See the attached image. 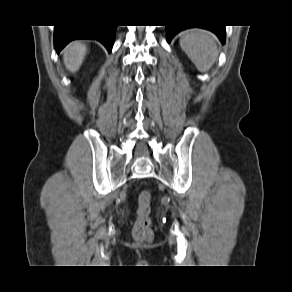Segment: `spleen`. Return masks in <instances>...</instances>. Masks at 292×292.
Masks as SVG:
<instances>
[{
    "mask_svg": "<svg viewBox=\"0 0 292 292\" xmlns=\"http://www.w3.org/2000/svg\"><path fill=\"white\" fill-rule=\"evenodd\" d=\"M179 43L182 50L202 73L209 71L217 60V38L210 31L197 28L185 30L180 34Z\"/></svg>",
    "mask_w": 292,
    "mask_h": 292,
    "instance_id": "3e777b00",
    "label": "spleen"
}]
</instances>
